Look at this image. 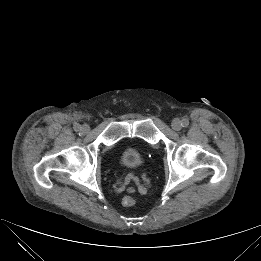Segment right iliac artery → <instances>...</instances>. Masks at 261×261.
Instances as JSON below:
<instances>
[{
    "label": "right iliac artery",
    "mask_w": 261,
    "mask_h": 261,
    "mask_svg": "<svg viewBox=\"0 0 261 261\" xmlns=\"http://www.w3.org/2000/svg\"><path fill=\"white\" fill-rule=\"evenodd\" d=\"M75 131H81V126L79 124L74 126Z\"/></svg>",
    "instance_id": "82829eb1"
}]
</instances>
